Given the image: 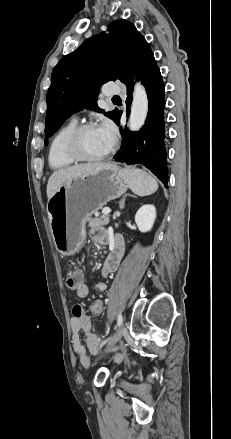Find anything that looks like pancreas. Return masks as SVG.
<instances>
[{
	"label": "pancreas",
	"instance_id": "1",
	"mask_svg": "<svg viewBox=\"0 0 231 439\" xmlns=\"http://www.w3.org/2000/svg\"><path fill=\"white\" fill-rule=\"evenodd\" d=\"M88 226L89 227H99L109 224V216L103 215L99 218H88Z\"/></svg>",
	"mask_w": 231,
	"mask_h": 439
}]
</instances>
